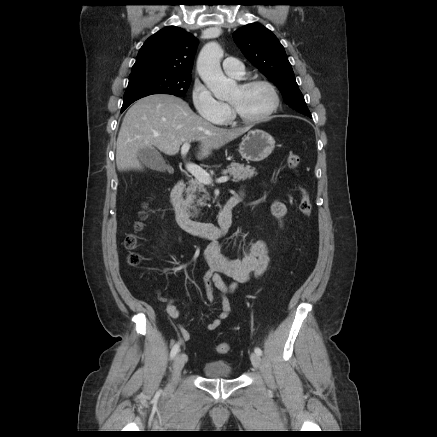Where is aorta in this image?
<instances>
[{
  "instance_id": "762f6f07",
  "label": "aorta",
  "mask_w": 437,
  "mask_h": 437,
  "mask_svg": "<svg viewBox=\"0 0 437 437\" xmlns=\"http://www.w3.org/2000/svg\"><path fill=\"white\" fill-rule=\"evenodd\" d=\"M223 50L216 42L207 43L198 56L197 71L217 99L228 97L237 88L234 80L228 79L222 72L220 61Z\"/></svg>"
}]
</instances>
